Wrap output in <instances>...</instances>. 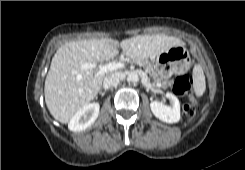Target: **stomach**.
<instances>
[{"instance_id":"1","label":"stomach","mask_w":245,"mask_h":170,"mask_svg":"<svg viewBox=\"0 0 245 170\" xmlns=\"http://www.w3.org/2000/svg\"><path fill=\"white\" fill-rule=\"evenodd\" d=\"M159 76L168 79L174 74L185 72L191 65L190 56L184 46H174L154 57Z\"/></svg>"}]
</instances>
